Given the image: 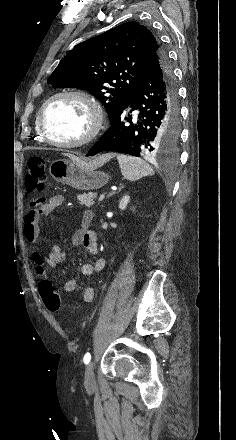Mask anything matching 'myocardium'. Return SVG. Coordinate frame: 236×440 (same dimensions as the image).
I'll use <instances>...</instances> for the list:
<instances>
[{
    "mask_svg": "<svg viewBox=\"0 0 236 440\" xmlns=\"http://www.w3.org/2000/svg\"><path fill=\"white\" fill-rule=\"evenodd\" d=\"M60 98L76 99L82 102L83 104H85L90 112V117H91L90 127L87 133L79 140L72 142H60L51 139L47 134L44 124L45 111L53 101ZM37 123L43 140L48 144L62 148H77L91 143L98 137L104 124V111L100 102L91 94L76 89L62 90L51 95L43 103V105L41 106L38 112Z\"/></svg>",
    "mask_w": 236,
    "mask_h": 440,
    "instance_id": "obj_1",
    "label": "myocardium"
}]
</instances>
